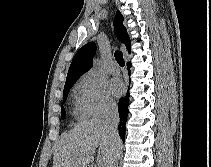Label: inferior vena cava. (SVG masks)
<instances>
[{"label":"inferior vena cava","instance_id":"1","mask_svg":"<svg viewBox=\"0 0 211 167\" xmlns=\"http://www.w3.org/2000/svg\"><path fill=\"white\" fill-rule=\"evenodd\" d=\"M105 128L108 130V132L111 135L112 140L117 143L120 141L117 127L119 124V114H118V108L116 104H108L106 107V113H105V118L103 120ZM120 149H117L116 151V156H115V161L113 164V167H118V158L120 156Z\"/></svg>","mask_w":211,"mask_h":167}]
</instances>
